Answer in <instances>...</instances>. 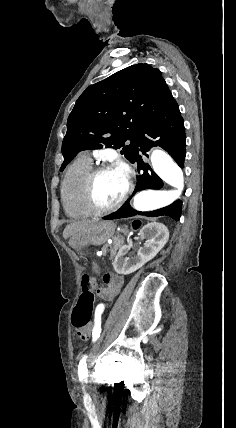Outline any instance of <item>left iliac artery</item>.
Instances as JSON below:
<instances>
[{
    "instance_id": "obj_1",
    "label": "left iliac artery",
    "mask_w": 236,
    "mask_h": 428,
    "mask_svg": "<svg viewBox=\"0 0 236 428\" xmlns=\"http://www.w3.org/2000/svg\"><path fill=\"white\" fill-rule=\"evenodd\" d=\"M104 311V305L99 304L95 311V325L93 328L92 336H93V342H95L99 337L101 333V314ZM86 358L87 355H84L83 358L80 360L78 365V375L79 377H88V369L86 364Z\"/></svg>"
}]
</instances>
